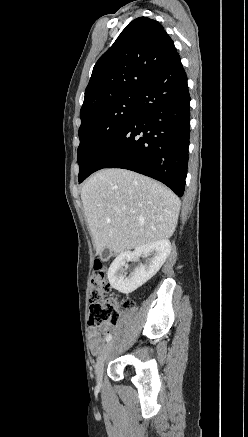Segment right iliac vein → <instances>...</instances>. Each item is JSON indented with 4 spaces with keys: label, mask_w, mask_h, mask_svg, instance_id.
I'll list each match as a JSON object with an SVG mask.
<instances>
[{
    "label": "right iliac vein",
    "mask_w": 248,
    "mask_h": 437,
    "mask_svg": "<svg viewBox=\"0 0 248 437\" xmlns=\"http://www.w3.org/2000/svg\"><path fill=\"white\" fill-rule=\"evenodd\" d=\"M112 345H113L112 342L107 343L102 348V350L100 351L99 356L97 358V362L95 365V375H96V381L98 384H101V382H102L105 360L112 349Z\"/></svg>",
    "instance_id": "obj_1"
}]
</instances>
